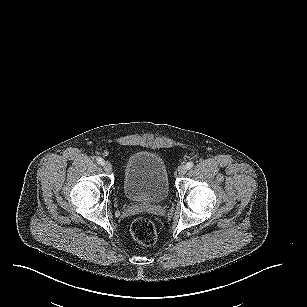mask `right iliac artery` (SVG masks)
Masks as SVG:
<instances>
[{
    "label": "right iliac artery",
    "mask_w": 307,
    "mask_h": 307,
    "mask_svg": "<svg viewBox=\"0 0 307 307\" xmlns=\"http://www.w3.org/2000/svg\"><path fill=\"white\" fill-rule=\"evenodd\" d=\"M96 161H97V163L100 164V165H103V163H104V160H103L101 157H97V158H96Z\"/></svg>",
    "instance_id": "right-iliac-artery-1"
}]
</instances>
